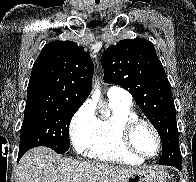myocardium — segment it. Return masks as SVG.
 Listing matches in <instances>:
<instances>
[{
	"instance_id": "myocardium-1",
	"label": "myocardium",
	"mask_w": 196,
	"mask_h": 182,
	"mask_svg": "<svg viewBox=\"0 0 196 182\" xmlns=\"http://www.w3.org/2000/svg\"><path fill=\"white\" fill-rule=\"evenodd\" d=\"M140 125L148 126L156 137L157 150L153 155H145V154L141 153L135 147V145L133 143L134 132ZM120 136H121V142H122L124 149L127 152H129L130 154H132L133 156L140 158L142 160H149V159L155 158L156 156H158V154L160 153V151L162 149L161 135H160L157 127L151 121H149L147 119L135 117V118H132V119L125 121L121 126Z\"/></svg>"
}]
</instances>
